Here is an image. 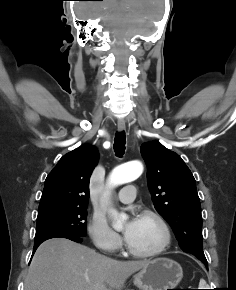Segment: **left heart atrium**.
Segmentation results:
<instances>
[{
	"label": "left heart atrium",
	"mask_w": 236,
	"mask_h": 290,
	"mask_svg": "<svg viewBox=\"0 0 236 290\" xmlns=\"http://www.w3.org/2000/svg\"><path fill=\"white\" fill-rule=\"evenodd\" d=\"M138 222H139V217H137V216L132 217L128 221V223H127V225L125 227V230H124V237H125L127 242L133 236V233H134V231H135V229H136V227L138 225Z\"/></svg>",
	"instance_id": "39dd6f15"
}]
</instances>
